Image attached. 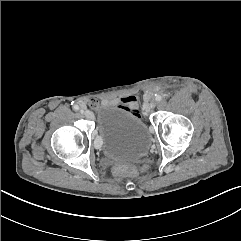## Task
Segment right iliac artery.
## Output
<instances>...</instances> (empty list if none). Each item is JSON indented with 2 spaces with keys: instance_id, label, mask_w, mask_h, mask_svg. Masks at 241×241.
<instances>
[{
  "instance_id": "1",
  "label": "right iliac artery",
  "mask_w": 241,
  "mask_h": 241,
  "mask_svg": "<svg viewBox=\"0 0 241 241\" xmlns=\"http://www.w3.org/2000/svg\"><path fill=\"white\" fill-rule=\"evenodd\" d=\"M73 109H74L75 111H78V110H79V106H78V105H74V106H73Z\"/></svg>"
}]
</instances>
